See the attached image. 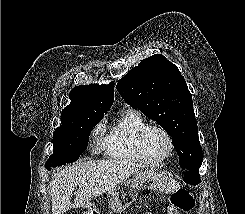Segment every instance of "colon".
Returning <instances> with one entry per match:
<instances>
[{
	"label": "colon",
	"mask_w": 245,
	"mask_h": 214,
	"mask_svg": "<svg viewBox=\"0 0 245 214\" xmlns=\"http://www.w3.org/2000/svg\"><path fill=\"white\" fill-rule=\"evenodd\" d=\"M193 208H194L193 197L186 189L180 188L171 194L168 214L188 213L192 211Z\"/></svg>",
	"instance_id": "1"
}]
</instances>
